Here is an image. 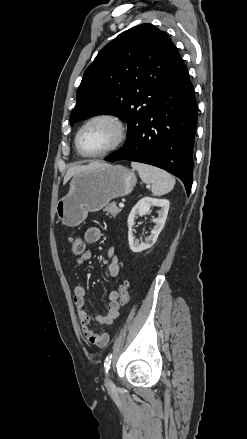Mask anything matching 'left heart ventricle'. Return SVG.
I'll return each instance as SVG.
<instances>
[{
    "label": "left heart ventricle",
    "mask_w": 247,
    "mask_h": 439,
    "mask_svg": "<svg viewBox=\"0 0 247 439\" xmlns=\"http://www.w3.org/2000/svg\"><path fill=\"white\" fill-rule=\"evenodd\" d=\"M116 139V129L108 121L91 123L80 137V146L85 153H97L113 144Z\"/></svg>",
    "instance_id": "1"
}]
</instances>
